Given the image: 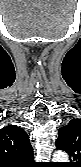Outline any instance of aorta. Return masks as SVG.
<instances>
[{"label": "aorta", "instance_id": "aorta-1", "mask_svg": "<svg viewBox=\"0 0 81 167\" xmlns=\"http://www.w3.org/2000/svg\"><path fill=\"white\" fill-rule=\"evenodd\" d=\"M54 162H68V155L62 151H58L53 156Z\"/></svg>", "mask_w": 81, "mask_h": 167}]
</instances>
